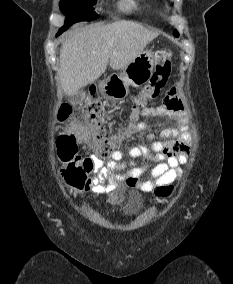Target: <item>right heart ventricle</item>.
<instances>
[{
    "label": "right heart ventricle",
    "instance_id": "e07e8e85",
    "mask_svg": "<svg viewBox=\"0 0 233 284\" xmlns=\"http://www.w3.org/2000/svg\"><path fill=\"white\" fill-rule=\"evenodd\" d=\"M124 9L126 10H137L139 9V5L135 0H125L122 5H121Z\"/></svg>",
    "mask_w": 233,
    "mask_h": 284
}]
</instances>
